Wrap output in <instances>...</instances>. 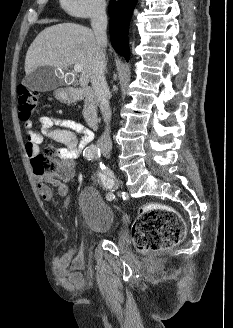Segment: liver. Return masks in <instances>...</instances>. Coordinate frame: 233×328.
I'll use <instances>...</instances> for the list:
<instances>
[{
    "label": "liver",
    "mask_w": 233,
    "mask_h": 328,
    "mask_svg": "<svg viewBox=\"0 0 233 328\" xmlns=\"http://www.w3.org/2000/svg\"><path fill=\"white\" fill-rule=\"evenodd\" d=\"M97 42L94 32L75 23H61L45 28L30 45L25 58L26 75L41 66L67 70L80 64L79 83L86 87L91 78Z\"/></svg>",
    "instance_id": "6515ba94"
}]
</instances>
